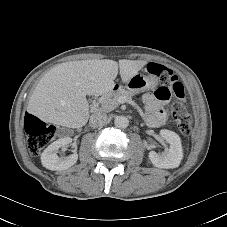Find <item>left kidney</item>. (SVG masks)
I'll return each instance as SVG.
<instances>
[{
	"label": "left kidney",
	"instance_id": "obj_1",
	"mask_svg": "<svg viewBox=\"0 0 227 227\" xmlns=\"http://www.w3.org/2000/svg\"><path fill=\"white\" fill-rule=\"evenodd\" d=\"M160 136L169 143V149L164 155L150 151L148 155L150 161L158 168H177L183 158V149L179 135L173 131L162 129Z\"/></svg>",
	"mask_w": 227,
	"mask_h": 227
}]
</instances>
